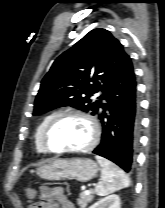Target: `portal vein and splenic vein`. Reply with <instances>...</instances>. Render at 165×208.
Segmentation results:
<instances>
[{
  "instance_id": "portal-vein-and-splenic-vein-1",
  "label": "portal vein and splenic vein",
  "mask_w": 165,
  "mask_h": 208,
  "mask_svg": "<svg viewBox=\"0 0 165 208\" xmlns=\"http://www.w3.org/2000/svg\"><path fill=\"white\" fill-rule=\"evenodd\" d=\"M84 193H85L86 195H89V194H90V190H85Z\"/></svg>"
}]
</instances>
